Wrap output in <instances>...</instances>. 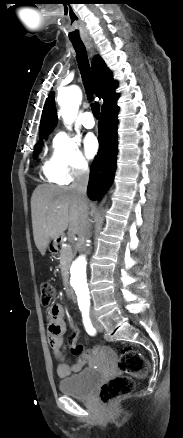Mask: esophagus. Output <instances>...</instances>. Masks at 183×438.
Here are the masks:
<instances>
[{
  "label": "esophagus",
  "instance_id": "obj_1",
  "mask_svg": "<svg viewBox=\"0 0 183 438\" xmlns=\"http://www.w3.org/2000/svg\"><path fill=\"white\" fill-rule=\"evenodd\" d=\"M86 46H87V48H88V50H89V52H90V55H91V56L94 55V54H95V50H94V48H93L92 43L88 42V43H86Z\"/></svg>",
  "mask_w": 183,
  "mask_h": 438
}]
</instances>
